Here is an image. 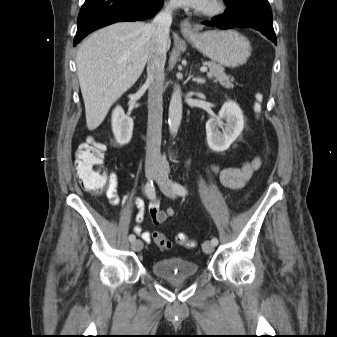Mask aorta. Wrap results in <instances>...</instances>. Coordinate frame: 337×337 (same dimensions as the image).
<instances>
[{
	"instance_id": "762f6f07",
	"label": "aorta",
	"mask_w": 337,
	"mask_h": 337,
	"mask_svg": "<svg viewBox=\"0 0 337 337\" xmlns=\"http://www.w3.org/2000/svg\"><path fill=\"white\" fill-rule=\"evenodd\" d=\"M168 116L169 130L171 134H174L182 120V96L179 90L172 93Z\"/></svg>"
}]
</instances>
